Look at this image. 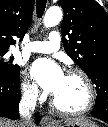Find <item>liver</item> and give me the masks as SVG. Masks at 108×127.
Returning <instances> with one entry per match:
<instances>
[{"mask_svg":"<svg viewBox=\"0 0 108 127\" xmlns=\"http://www.w3.org/2000/svg\"><path fill=\"white\" fill-rule=\"evenodd\" d=\"M66 122H77L80 124L95 125V123L91 122L90 120H88L86 118H74V119L67 120ZM0 127H21V124H20V122H17V121H12V120H8L5 118H1L0 119ZM32 127H34V123L32 124Z\"/></svg>","mask_w":108,"mask_h":127,"instance_id":"obj_1","label":"liver"}]
</instances>
